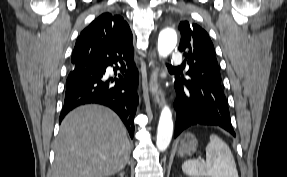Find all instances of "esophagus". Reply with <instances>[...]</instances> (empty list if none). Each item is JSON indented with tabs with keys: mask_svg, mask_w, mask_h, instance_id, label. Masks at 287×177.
<instances>
[{
	"mask_svg": "<svg viewBox=\"0 0 287 177\" xmlns=\"http://www.w3.org/2000/svg\"><path fill=\"white\" fill-rule=\"evenodd\" d=\"M158 60L156 50L153 49L149 52V67H151V73L149 78V92L151 94L152 100L161 107L163 104V95L161 87L159 84V74H158Z\"/></svg>",
	"mask_w": 287,
	"mask_h": 177,
	"instance_id": "34e87169",
	"label": "esophagus"
}]
</instances>
